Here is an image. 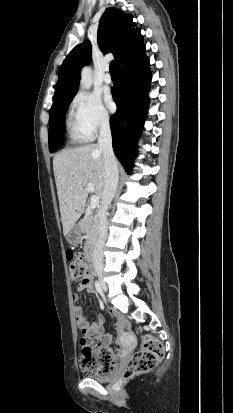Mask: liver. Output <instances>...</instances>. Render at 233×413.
<instances>
[{
    "label": "liver",
    "instance_id": "6515ba94",
    "mask_svg": "<svg viewBox=\"0 0 233 413\" xmlns=\"http://www.w3.org/2000/svg\"><path fill=\"white\" fill-rule=\"evenodd\" d=\"M53 171L59 199L63 234L67 236L84 211L89 190L102 198L104 156L98 144L64 149L53 158Z\"/></svg>",
    "mask_w": 233,
    "mask_h": 413
}]
</instances>
